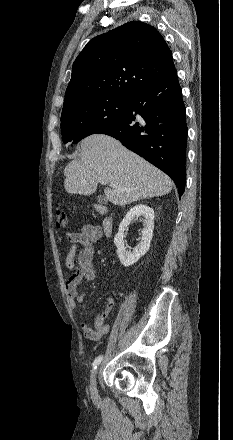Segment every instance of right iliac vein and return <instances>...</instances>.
Returning a JSON list of instances; mask_svg holds the SVG:
<instances>
[{"label":"right iliac vein","mask_w":233,"mask_h":440,"mask_svg":"<svg viewBox=\"0 0 233 440\" xmlns=\"http://www.w3.org/2000/svg\"><path fill=\"white\" fill-rule=\"evenodd\" d=\"M96 376H97V369L94 370L91 374V380H90V391L92 396H97V384H96Z\"/></svg>","instance_id":"1"}]
</instances>
